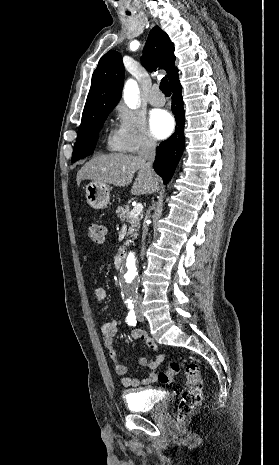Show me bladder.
I'll use <instances>...</instances> for the list:
<instances>
[{"mask_svg": "<svg viewBox=\"0 0 279 465\" xmlns=\"http://www.w3.org/2000/svg\"><path fill=\"white\" fill-rule=\"evenodd\" d=\"M168 394L156 389H135L124 393L127 408L132 412L161 413L167 408Z\"/></svg>", "mask_w": 279, "mask_h": 465, "instance_id": "31cf9c89", "label": "bladder"}]
</instances>
